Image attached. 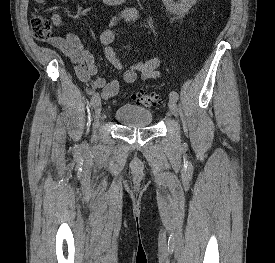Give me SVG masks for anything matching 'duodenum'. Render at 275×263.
<instances>
[{"instance_id":"1","label":"duodenum","mask_w":275,"mask_h":263,"mask_svg":"<svg viewBox=\"0 0 275 263\" xmlns=\"http://www.w3.org/2000/svg\"><path fill=\"white\" fill-rule=\"evenodd\" d=\"M106 5H117V4H120L126 0H102Z\"/></svg>"}]
</instances>
